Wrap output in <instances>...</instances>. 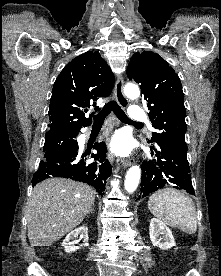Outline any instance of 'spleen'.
<instances>
[{
    "label": "spleen",
    "instance_id": "3e777b00",
    "mask_svg": "<svg viewBox=\"0 0 221 276\" xmlns=\"http://www.w3.org/2000/svg\"><path fill=\"white\" fill-rule=\"evenodd\" d=\"M150 212L171 227L187 234L197 231V213L194 202L173 188L156 191L148 200Z\"/></svg>",
    "mask_w": 221,
    "mask_h": 276
}]
</instances>
